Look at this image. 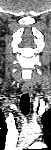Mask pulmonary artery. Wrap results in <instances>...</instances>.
Listing matches in <instances>:
<instances>
[{"mask_svg":"<svg viewBox=\"0 0 51 150\" xmlns=\"http://www.w3.org/2000/svg\"><path fill=\"white\" fill-rule=\"evenodd\" d=\"M43 146V144L42 143H40V142H36V143H34V144H32L31 146H30V148H41Z\"/></svg>","mask_w":51,"mask_h":150,"instance_id":"e3ab8cb5","label":"pulmonary artery"}]
</instances>
